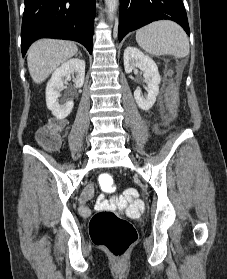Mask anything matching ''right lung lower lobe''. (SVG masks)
Returning <instances> with one entry per match:
<instances>
[{
  "label": "right lung lower lobe",
  "mask_w": 227,
  "mask_h": 279,
  "mask_svg": "<svg viewBox=\"0 0 227 279\" xmlns=\"http://www.w3.org/2000/svg\"><path fill=\"white\" fill-rule=\"evenodd\" d=\"M96 0H25L21 51L40 38L73 40L92 53Z\"/></svg>",
  "instance_id": "1"
}]
</instances>
